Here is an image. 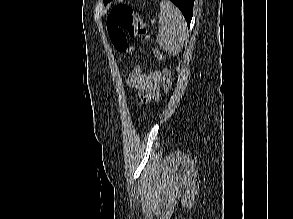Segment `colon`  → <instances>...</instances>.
<instances>
[{
	"label": "colon",
	"instance_id": "colon-1",
	"mask_svg": "<svg viewBox=\"0 0 293 219\" xmlns=\"http://www.w3.org/2000/svg\"><path fill=\"white\" fill-rule=\"evenodd\" d=\"M107 31L114 49L119 53H129L132 46L127 35L138 37L143 43L150 41V35L143 19L133 9L124 3L116 4L110 11L106 21ZM158 61H163V56L152 49ZM135 74H139L140 68L135 67ZM171 73L167 68L163 69V88L166 93L171 90Z\"/></svg>",
	"mask_w": 293,
	"mask_h": 219
}]
</instances>
